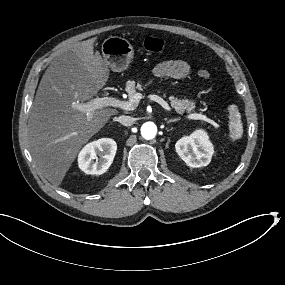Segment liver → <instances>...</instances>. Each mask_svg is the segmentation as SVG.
Here are the masks:
<instances>
[{"label": "liver", "instance_id": "1", "mask_svg": "<svg viewBox=\"0 0 285 285\" xmlns=\"http://www.w3.org/2000/svg\"><path fill=\"white\" fill-rule=\"evenodd\" d=\"M95 39L77 42L60 52L45 71L28 120V148L33 163L47 180L59 187L82 147L118 110L96 109L90 123L76 109L99 96L110 72Z\"/></svg>", "mask_w": 285, "mask_h": 285}]
</instances>
